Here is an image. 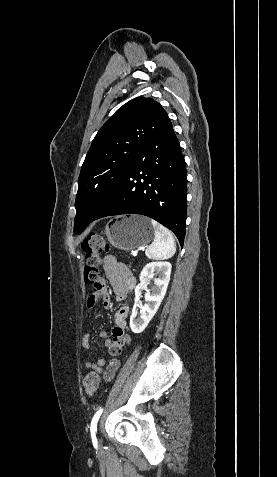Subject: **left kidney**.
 Masks as SVG:
<instances>
[{"mask_svg": "<svg viewBox=\"0 0 277 477\" xmlns=\"http://www.w3.org/2000/svg\"><path fill=\"white\" fill-rule=\"evenodd\" d=\"M172 265L170 262H151L147 264L140 273V283L135 288V303L130 317V328L132 332L138 334L144 331L153 316L156 314L168 287ZM154 275L158 278L154 280L152 292L145 294L147 304L141 307V317L136 320V308L140 306L139 299L142 291L149 279Z\"/></svg>", "mask_w": 277, "mask_h": 477, "instance_id": "left-kidney-1", "label": "left kidney"}]
</instances>
